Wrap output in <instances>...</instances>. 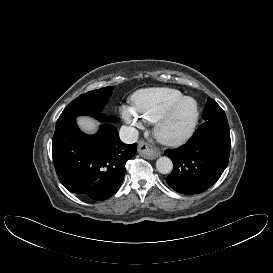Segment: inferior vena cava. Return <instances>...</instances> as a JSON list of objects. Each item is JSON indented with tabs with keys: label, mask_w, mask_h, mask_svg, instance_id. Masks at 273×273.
I'll return each instance as SVG.
<instances>
[{
	"label": "inferior vena cava",
	"mask_w": 273,
	"mask_h": 273,
	"mask_svg": "<svg viewBox=\"0 0 273 273\" xmlns=\"http://www.w3.org/2000/svg\"><path fill=\"white\" fill-rule=\"evenodd\" d=\"M120 139L126 144L135 143L138 140V130L131 126L123 125L119 131Z\"/></svg>",
	"instance_id": "obj_1"
}]
</instances>
